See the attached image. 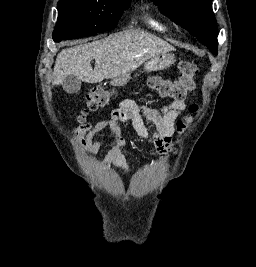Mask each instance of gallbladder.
<instances>
[{
    "mask_svg": "<svg viewBox=\"0 0 256 267\" xmlns=\"http://www.w3.org/2000/svg\"><path fill=\"white\" fill-rule=\"evenodd\" d=\"M62 88L67 94H78L81 90V80L76 76H67L62 82Z\"/></svg>",
    "mask_w": 256,
    "mask_h": 267,
    "instance_id": "obj_1",
    "label": "gallbladder"
}]
</instances>
